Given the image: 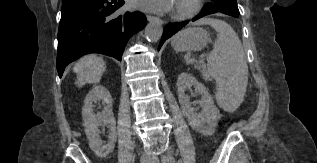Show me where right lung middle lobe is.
<instances>
[{
  "instance_id": "obj_1",
  "label": "right lung middle lobe",
  "mask_w": 317,
  "mask_h": 163,
  "mask_svg": "<svg viewBox=\"0 0 317 163\" xmlns=\"http://www.w3.org/2000/svg\"><path fill=\"white\" fill-rule=\"evenodd\" d=\"M82 1H84V0H70V1H67V2H63L62 7L75 5V4H78V3L82 2Z\"/></svg>"
}]
</instances>
